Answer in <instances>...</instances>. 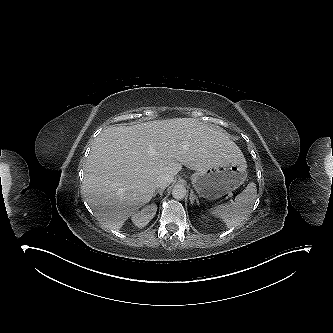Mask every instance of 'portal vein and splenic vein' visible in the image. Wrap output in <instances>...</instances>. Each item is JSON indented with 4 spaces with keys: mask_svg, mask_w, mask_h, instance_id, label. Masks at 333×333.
Returning a JSON list of instances; mask_svg holds the SVG:
<instances>
[{
    "mask_svg": "<svg viewBox=\"0 0 333 333\" xmlns=\"http://www.w3.org/2000/svg\"><path fill=\"white\" fill-rule=\"evenodd\" d=\"M229 197H232V194H231V193L229 194Z\"/></svg>",
    "mask_w": 333,
    "mask_h": 333,
    "instance_id": "1",
    "label": "portal vein and splenic vein"
}]
</instances>
